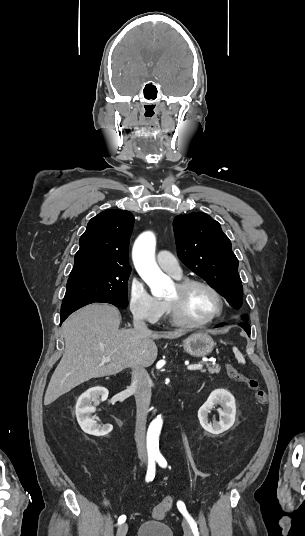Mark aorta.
Here are the masks:
<instances>
[{
	"label": "aorta",
	"instance_id": "aorta-1",
	"mask_svg": "<svg viewBox=\"0 0 305 536\" xmlns=\"http://www.w3.org/2000/svg\"><path fill=\"white\" fill-rule=\"evenodd\" d=\"M156 238L154 233L148 231L142 233L134 243L132 250V258L134 266L150 287L151 293L155 297L164 296L172 286V281L158 267L155 261ZM163 420L161 416H157L152 427L161 429Z\"/></svg>",
	"mask_w": 305,
	"mask_h": 536
}]
</instances>
